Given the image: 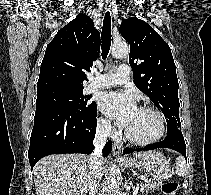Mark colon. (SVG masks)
Segmentation results:
<instances>
[{
	"instance_id": "5ec220e1",
	"label": "colon",
	"mask_w": 211,
	"mask_h": 195,
	"mask_svg": "<svg viewBox=\"0 0 211 195\" xmlns=\"http://www.w3.org/2000/svg\"><path fill=\"white\" fill-rule=\"evenodd\" d=\"M178 189V184L176 182L164 183L161 186V190L165 195H174Z\"/></svg>"
}]
</instances>
